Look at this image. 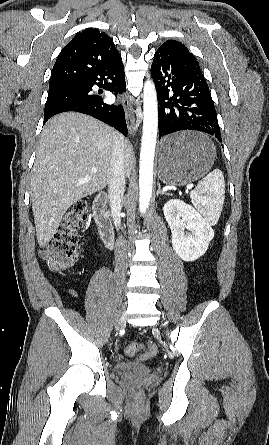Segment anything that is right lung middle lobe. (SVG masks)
I'll return each instance as SVG.
<instances>
[{"label": "right lung middle lobe", "mask_w": 269, "mask_h": 445, "mask_svg": "<svg viewBox=\"0 0 269 445\" xmlns=\"http://www.w3.org/2000/svg\"><path fill=\"white\" fill-rule=\"evenodd\" d=\"M82 89L83 85L81 84L64 85L49 88L44 115L47 114L56 105L71 99L73 95L79 93Z\"/></svg>", "instance_id": "1"}]
</instances>
